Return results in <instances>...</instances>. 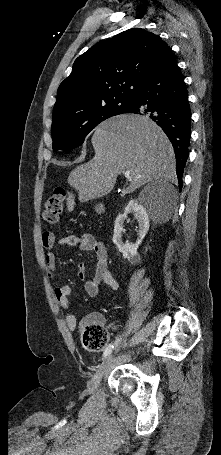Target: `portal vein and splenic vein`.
<instances>
[{
  "label": "portal vein and splenic vein",
  "instance_id": "18ae733b",
  "mask_svg": "<svg viewBox=\"0 0 221 455\" xmlns=\"http://www.w3.org/2000/svg\"><path fill=\"white\" fill-rule=\"evenodd\" d=\"M124 176H125L127 179H131L130 171L124 172Z\"/></svg>",
  "mask_w": 221,
  "mask_h": 455
}]
</instances>
